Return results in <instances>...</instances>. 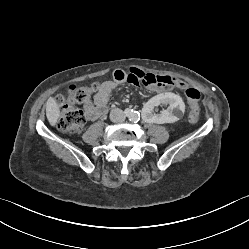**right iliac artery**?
<instances>
[{
	"instance_id": "right-iliac-artery-1",
	"label": "right iliac artery",
	"mask_w": 249,
	"mask_h": 249,
	"mask_svg": "<svg viewBox=\"0 0 249 249\" xmlns=\"http://www.w3.org/2000/svg\"><path fill=\"white\" fill-rule=\"evenodd\" d=\"M132 111L133 110L125 109L124 113H125L126 116H130L132 114Z\"/></svg>"
}]
</instances>
